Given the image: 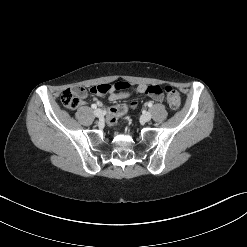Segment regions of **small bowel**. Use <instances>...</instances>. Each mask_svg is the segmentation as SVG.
<instances>
[{
    "mask_svg": "<svg viewBox=\"0 0 247 247\" xmlns=\"http://www.w3.org/2000/svg\"><path fill=\"white\" fill-rule=\"evenodd\" d=\"M152 86L155 85L138 84L135 86L134 84L129 82H118L111 86L110 90L108 91V97L111 101L126 99L130 96L129 89L132 87H135V91L137 93L147 94L149 96L148 92Z\"/></svg>",
    "mask_w": 247,
    "mask_h": 247,
    "instance_id": "obj_1",
    "label": "small bowel"
}]
</instances>
